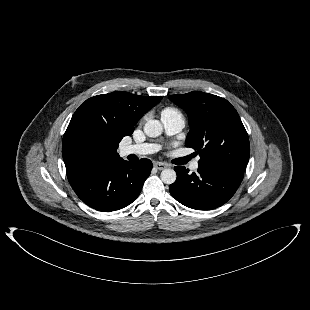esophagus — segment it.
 Segmentation results:
<instances>
[{"mask_svg": "<svg viewBox=\"0 0 310 310\" xmlns=\"http://www.w3.org/2000/svg\"><path fill=\"white\" fill-rule=\"evenodd\" d=\"M154 167H155L157 170H163V169L167 168V165L164 164V163H161V162H155V163H154Z\"/></svg>", "mask_w": 310, "mask_h": 310, "instance_id": "obj_1", "label": "esophagus"}]
</instances>
